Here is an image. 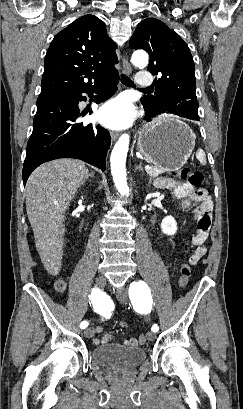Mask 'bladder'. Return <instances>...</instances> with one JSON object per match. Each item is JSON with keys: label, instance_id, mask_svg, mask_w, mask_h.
<instances>
[{"label": "bladder", "instance_id": "obj_1", "mask_svg": "<svg viewBox=\"0 0 243 409\" xmlns=\"http://www.w3.org/2000/svg\"><path fill=\"white\" fill-rule=\"evenodd\" d=\"M92 357L96 363L110 370L126 371L141 364L146 352L142 347L104 344L93 349Z\"/></svg>", "mask_w": 243, "mask_h": 409}]
</instances>
